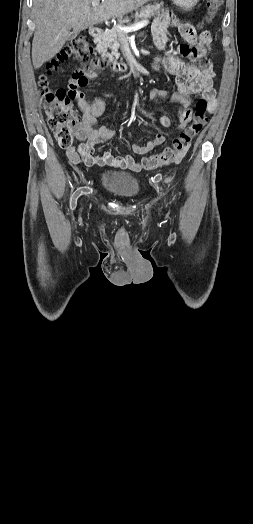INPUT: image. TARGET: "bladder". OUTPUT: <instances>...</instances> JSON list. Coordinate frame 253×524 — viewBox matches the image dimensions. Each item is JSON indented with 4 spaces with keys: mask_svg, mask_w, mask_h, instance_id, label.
Listing matches in <instances>:
<instances>
[{
    "mask_svg": "<svg viewBox=\"0 0 253 524\" xmlns=\"http://www.w3.org/2000/svg\"><path fill=\"white\" fill-rule=\"evenodd\" d=\"M101 184L113 195L124 199L136 197L140 190V183L135 175L113 170L102 172Z\"/></svg>",
    "mask_w": 253,
    "mask_h": 524,
    "instance_id": "bladder-1",
    "label": "bladder"
}]
</instances>
